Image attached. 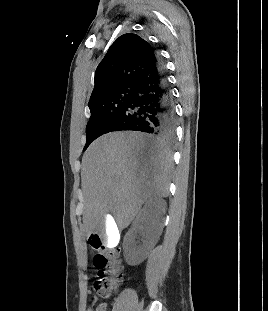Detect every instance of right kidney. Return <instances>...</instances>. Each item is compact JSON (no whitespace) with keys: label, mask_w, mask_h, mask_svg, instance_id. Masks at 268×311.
Segmentation results:
<instances>
[{"label":"right kidney","mask_w":268,"mask_h":311,"mask_svg":"<svg viewBox=\"0 0 268 311\" xmlns=\"http://www.w3.org/2000/svg\"><path fill=\"white\" fill-rule=\"evenodd\" d=\"M166 202L154 197L149 199L132 223L123 242L124 258L131 266L144 261L156 245L164 226ZM141 237V243L137 239Z\"/></svg>","instance_id":"right-kidney-1"}]
</instances>
